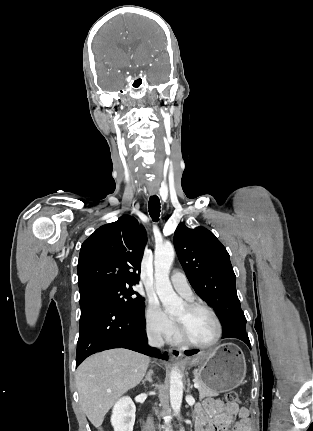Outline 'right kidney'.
I'll list each match as a JSON object with an SVG mask.
<instances>
[{"label":"right kidney","instance_id":"right-kidney-1","mask_svg":"<svg viewBox=\"0 0 313 431\" xmlns=\"http://www.w3.org/2000/svg\"><path fill=\"white\" fill-rule=\"evenodd\" d=\"M135 411V405L130 397L119 399L113 407L111 416L114 431H133Z\"/></svg>","mask_w":313,"mask_h":431}]
</instances>
